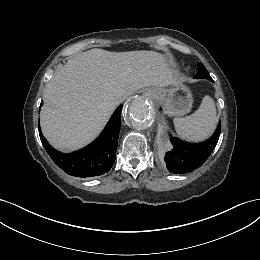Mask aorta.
Segmentation results:
<instances>
[{"mask_svg":"<svg viewBox=\"0 0 260 260\" xmlns=\"http://www.w3.org/2000/svg\"><path fill=\"white\" fill-rule=\"evenodd\" d=\"M153 113L149 102L143 97L133 99L126 113L127 123L136 130H146L152 123Z\"/></svg>","mask_w":260,"mask_h":260,"instance_id":"762f6f07","label":"aorta"}]
</instances>
